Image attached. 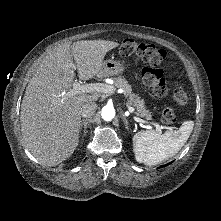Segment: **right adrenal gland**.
<instances>
[{
	"instance_id": "right-adrenal-gland-1",
	"label": "right adrenal gland",
	"mask_w": 221,
	"mask_h": 221,
	"mask_svg": "<svg viewBox=\"0 0 221 221\" xmlns=\"http://www.w3.org/2000/svg\"><path fill=\"white\" fill-rule=\"evenodd\" d=\"M88 121L89 119H83L80 123V132L82 131V128L84 127V130H83V135L86 136V133H87V124H88Z\"/></svg>"
}]
</instances>
